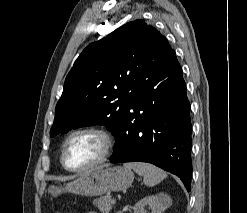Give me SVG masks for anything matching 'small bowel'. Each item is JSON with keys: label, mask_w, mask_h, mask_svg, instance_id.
Masks as SVG:
<instances>
[{"label": "small bowel", "mask_w": 247, "mask_h": 213, "mask_svg": "<svg viewBox=\"0 0 247 213\" xmlns=\"http://www.w3.org/2000/svg\"><path fill=\"white\" fill-rule=\"evenodd\" d=\"M86 213H97V212H93V211H92V212H86Z\"/></svg>", "instance_id": "small-bowel-1"}]
</instances>
